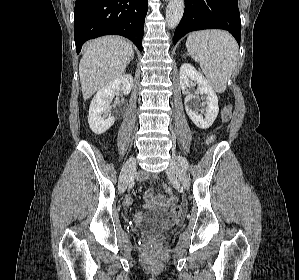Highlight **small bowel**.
Masks as SVG:
<instances>
[{
    "instance_id": "small-bowel-1",
    "label": "small bowel",
    "mask_w": 299,
    "mask_h": 280,
    "mask_svg": "<svg viewBox=\"0 0 299 280\" xmlns=\"http://www.w3.org/2000/svg\"><path fill=\"white\" fill-rule=\"evenodd\" d=\"M144 207L147 209H153V210H160L165 209L172 203L176 201V198L174 196H170L168 198L165 197H159L155 194V192L152 189H149L144 194ZM132 200L131 198H127L124 202L125 206H129L131 204Z\"/></svg>"
}]
</instances>
